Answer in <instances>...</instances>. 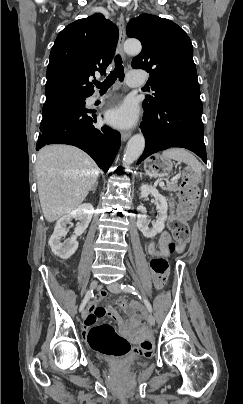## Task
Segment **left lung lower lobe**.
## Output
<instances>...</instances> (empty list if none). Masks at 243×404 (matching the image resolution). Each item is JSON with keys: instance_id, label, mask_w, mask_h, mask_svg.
I'll list each match as a JSON object with an SVG mask.
<instances>
[{"instance_id": "left-lung-lower-lobe-1", "label": "left lung lower lobe", "mask_w": 243, "mask_h": 404, "mask_svg": "<svg viewBox=\"0 0 243 404\" xmlns=\"http://www.w3.org/2000/svg\"><path fill=\"white\" fill-rule=\"evenodd\" d=\"M202 110L201 101L172 99L162 103L151 115H144L141 131L146 145L138 163L171 147L189 149L206 163Z\"/></svg>"}]
</instances>
